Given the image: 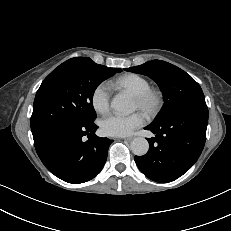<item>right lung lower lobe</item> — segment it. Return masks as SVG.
I'll return each instance as SVG.
<instances>
[{"mask_svg":"<svg viewBox=\"0 0 231 231\" xmlns=\"http://www.w3.org/2000/svg\"><path fill=\"white\" fill-rule=\"evenodd\" d=\"M97 128L93 122L62 126L50 138L34 141L37 154L46 168L63 181H89L102 170L113 142L96 136Z\"/></svg>","mask_w":231,"mask_h":231,"instance_id":"98d812e1","label":"right lung lower lobe"}]
</instances>
